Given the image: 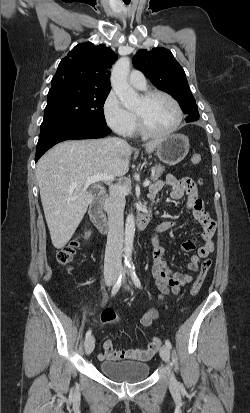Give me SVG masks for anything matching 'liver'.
<instances>
[{
    "label": "liver",
    "mask_w": 250,
    "mask_h": 413,
    "mask_svg": "<svg viewBox=\"0 0 250 413\" xmlns=\"http://www.w3.org/2000/svg\"><path fill=\"white\" fill-rule=\"evenodd\" d=\"M158 142H148L146 151L153 152ZM132 151L127 142L108 137L64 141L40 158L36 177L55 248H63L72 238L94 199L86 179L98 174L124 176Z\"/></svg>",
    "instance_id": "1"
}]
</instances>
